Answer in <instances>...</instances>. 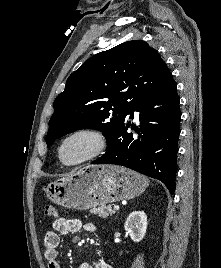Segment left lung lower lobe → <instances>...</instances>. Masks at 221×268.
I'll list each match as a JSON object with an SVG mask.
<instances>
[{
	"mask_svg": "<svg viewBox=\"0 0 221 268\" xmlns=\"http://www.w3.org/2000/svg\"><path fill=\"white\" fill-rule=\"evenodd\" d=\"M176 83L172 78L163 87L139 100L127 112H139V128L126 119L107 141L106 153L92 164H116L162 181L175 191L179 122L181 112ZM137 134L128 133L130 128Z\"/></svg>",
	"mask_w": 221,
	"mask_h": 268,
	"instance_id": "left-lung-lower-lobe-1",
	"label": "left lung lower lobe"
}]
</instances>
